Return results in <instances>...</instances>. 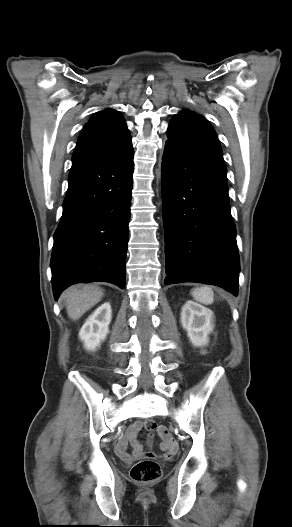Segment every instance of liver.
Listing matches in <instances>:
<instances>
[{
  "label": "liver",
  "instance_id": "6515ba94",
  "mask_svg": "<svg viewBox=\"0 0 292 527\" xmlns=\"http://www.w3.org/2000/svg\"><path fill=\"white\" fill-rule=\"evenodd\" d=\"M104 291L96 285L73 288L66 295V309L70 319L78 320L84 313L101 301Z\"/></svg>",
  "mask_w": 292,
  "mask_h": 527
}]
</instances>
